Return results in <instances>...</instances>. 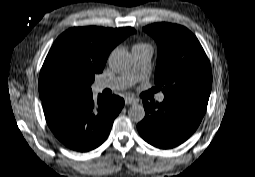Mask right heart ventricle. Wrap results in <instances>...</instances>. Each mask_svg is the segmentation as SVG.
Masks as SVG:
<instances>
[{
    "label": "right heart ventricle",
    "instance_id": "1",
    "mask_svg": "<svg viewBox=\"0 0 255 177\" xmlns=\"http://www.w3.org/2000/svg\"><path fill=\"white\" fill-rule=\"evenodd\" d=\"M146 47H150V45L147 44V43H144V42H137L133 45L132 50H134V49H143V48H146Z\"/></svg>",
    "mask_w": 255,
    "mask_h": 177
}]
</instances>
